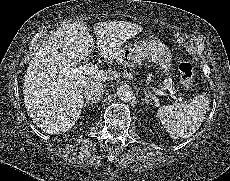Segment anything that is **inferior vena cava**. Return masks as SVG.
<instances>
[{
	"label": "inferior vena cava",
	"instance_id": "602c4592",
	"mask_svg": "<svg viewBox=\"0 0 230 181\" xmlns=\"http://www.w3.org/2000/svg\"><path fill=\"white\" fill-rule=\"evenodd\" d=\"M104 87L101 83L93 84L85 89V97L92 100H100V97L103 95Z\"/></svg>",
	"mask_w": 230,
	"mask_h": 181
}]
</instances>
